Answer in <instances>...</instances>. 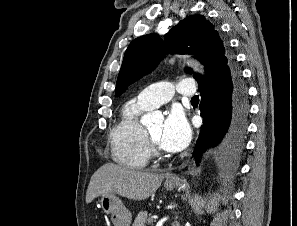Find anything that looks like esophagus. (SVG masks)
<instances>
[{"label":"esophagus","instance_id":"34e87169","mask_svg":"<svg viewBox=\"0 0 297 226\" xmlns=\"http://www.w3.org/2000/svg\"><path fill=\"white\" fill-rule=\"evenodd\" d=\"M169 181H177V178L171 177V178H169Z\"/></svg>","mask_w":297,"mask_h":226}]
</instances>
